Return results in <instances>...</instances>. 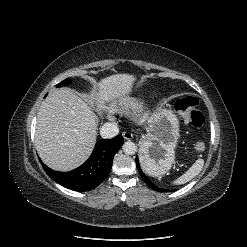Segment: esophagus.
<instances>
[{
  "label": "esophagus",
  "instance_id": "esophagus-1",
  "mask_svg": "<svg viewBox=\"0 0 247 247\" xmlns=\"http://www.w3.org/2000/svg\"><path fill=\"white\" fill-rule=\"evenodd\" d=\"M122 135L125 140L130 141L133 139V134L130 132H123Z\"/></svg>",
  "mask_w": 247,
  "mask_h": 247
}]
</instances>
